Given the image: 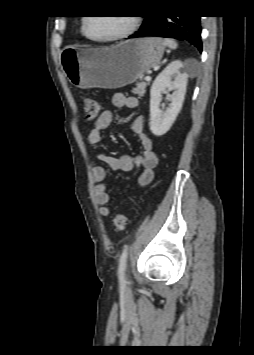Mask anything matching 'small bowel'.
Instances as JSON below:
<instances>
[{
	"label": "small bowel",
	"mask_w": 254,
	"mask_h": 355,
	"mask_svg": "<svg viewBox=\"0 0 254 355\" xmlns=\"http://www.w3.org/2000/svg\"><path fill=\"white\" fill-rule=\"evenodd\" d=\"M112 105L117 108L136 109L138 100L133 96H126L123 93H115L111 99ZM113 119V114L109 110H104L94 121L92 128L88 133V142L91 145H98L102 138L103 131L109 127ZM132 131L138 137L142 153L136 157L129 155L110 156L104 153H97L98 160L107 163L112 169L123 172H130L135 167L141 169L137 183L139 186H147L153 179L154 169L158 164V157L153 149L151 139L145 132L144 118L137 117L132 123ZM93 179L95 181L94 194L97 204L100 206L99 213L103 218L110 216V209L107 204L110 195L105 184L106 170L102 166H95L92 169Z\"/></svg>",
	"instance_id": "c3829d8e"
}]
</instances>
